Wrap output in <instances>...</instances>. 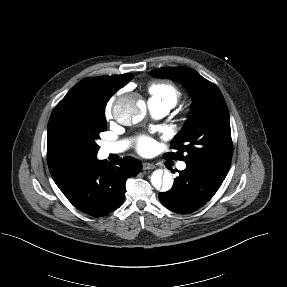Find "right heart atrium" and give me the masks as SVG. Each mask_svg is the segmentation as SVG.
<instances>
[{"instance_id":"d8ad5b80","label":"right heart atrium","mask_w":287,"mask_h":287,"mask_svg":"<svg viewBox=\"0 0 287 287\" xmlns=\"http://www.w3.org/2000/svg\"><path fill=\"white\" fill-rule=\"evenodd\" d=\"M114 98H111L105 106V116L110 117L112 113Z\"/></svg>"}]
</instances>
